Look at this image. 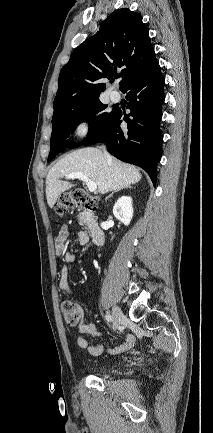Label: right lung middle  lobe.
Segmentation results:
<instances>
[{
    "label": "right lung middle lobe",
    "mask_w": 213,
    "mask_h": 433,
    "mask_svg": "<svg viewBox=\"0 0 213 433\" xmlns=\"http://www.w3.org/2000/svg\"><path fill=\"white\" fill-rule=\"evenodd\" d=\"M107 107L99 100L93 98L62 110L52 118V134L50 140V153L48 162L54 159L68 146L75 148L78 145L69 143V136L81 122H89V133L84 141H89L99 134L108 124L114 110L110 113L103 110Z\"/></svg>",
    "instance_id": "dd1d6c3e"
}]
</instances>
